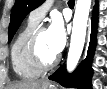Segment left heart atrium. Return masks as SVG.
I'll list each match as a JSON object with an SVG mask.
<instances>
[{
  "label": "left heart atrium",
  "instance_id": "obj_1",
  "mask_svg": "<svg viewBox=\"0 0 107 89\" xmlns=\"http://www.w3.org/2000/svg\"><path fill=\"white\" fill-rule=\"evenodd\" d=\"M47 31L52 48L57 54L60 53L66 44V33L62 18L56 16Z\"/></svg>",
  "mask_w": 107,
  "mask_h": 89
}]
</instances>
